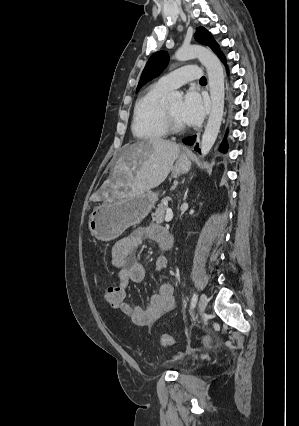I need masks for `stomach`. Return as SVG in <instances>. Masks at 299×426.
Returning <instances> with one entry per match:
<instances>
[{
  "label": "stomach",
  "instance_id": "0dacf381",
  "mask_svg": "<svg viewBox=\"0 0 299 426\" xmlns=\"http://www.w3.org/2000/svg\"><path fill=\"white\" fill-rule=\"evenodd\" d=\"M190 168L191 159L189 155L180 154L171 169L172 176L185 174ZM157 200V192L147 191L120 197L95 207L88 222L91 235L101 241L116 239L128 227L139 224L155 207Z\"/></svg>",
  "mask_w": 299,
  "mask_h": 426
}]
</instances>
